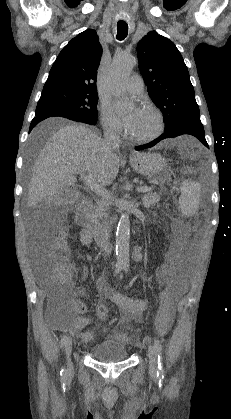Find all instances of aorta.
<instances>
[{
    "mask_svg": "<svg viewBox=\"0 0 231 419\" xmlns=\"http://www.w3.org/2000/svg\"><path fill=\"white\" fill-rule=\"evenodd\" d=\"M136 58L121 54L114 57L111 68L108 72V85L112 94L120 101L121 107H127L128 103L123 98V83L130 76ZM129 238L130 220L127 213L122 214L116 231V256L117 265L120 267L129 266Z\"/></svg>",
    "mask_w": 231,
    "mask_h": 419,
    "instance_id": "obj_1",
    "label": "aorta"
}]
</instances>
